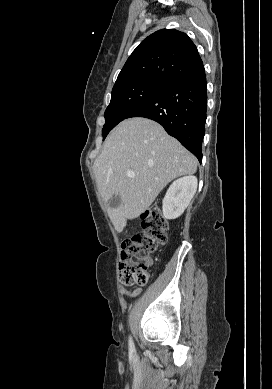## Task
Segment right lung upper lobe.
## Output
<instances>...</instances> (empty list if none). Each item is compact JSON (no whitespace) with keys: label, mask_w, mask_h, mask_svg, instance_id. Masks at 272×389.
Masks as SVG:
<instances>
[{"label":"right lung upper lobe","mask_w":272,"mask_h":389,"mask_svg":"<svg viewBox=\"0 0 272 389\" xmlns=\"http://www.w3.org/2000/svg\"><path fill=\"white\" fill-rule=\"evenodd\" d=\"M202 64L196 46L185 33L175 29L159 30L132 52L114 87L142 80L167 84Z\"/></svg>","instance_id":"obj_1"}]
</instances>
